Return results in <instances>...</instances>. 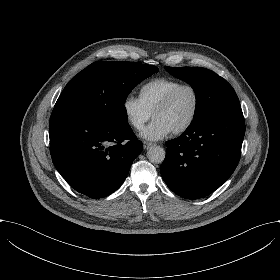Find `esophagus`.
<instances>
[{
  "instance_id": "obj_1",
  "label": "esophagus",
  "mask_w": 280,
  "mask_h": 280,
  "mask_svg": "<svg viewBox=\"0 0 280 280\" xmlns=\"http://www.w3.org/2000/svg\"><path fill=\"white\" fill-rule=\"evenodd\" d=\"M152 145H153V143H151V142H148V141L143 142V148L145 150L149 149Z\"/></svg>"
}]
</instances>
